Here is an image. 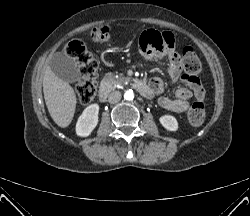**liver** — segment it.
<instances>
[{
    "mask_svg": "<svg viewBox=\"0 0 250 216\" xmlns=\"http://www.w3.org/2000/svg\"><path fill=\"white\" fill-rule=\"evenodd\" d=\"M43 92L53 121L62 128L69 126L75 113L77 98L73 88L56 76L50 66L44 72Z\"/></svg>",
    "mask_w": 250,
    "mask_h": 216,
    "instance_id": "obj_1",
    "label": "liver"
}]
</instances>
